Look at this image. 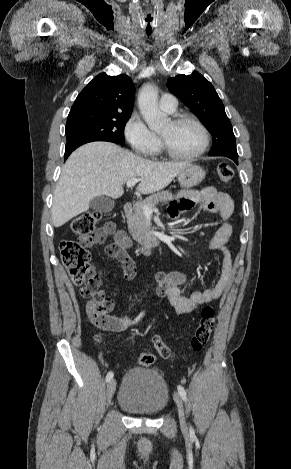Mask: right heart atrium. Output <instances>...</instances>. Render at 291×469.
Masks as SVG:
<instances>
[{
	"mask_svg": "<svg viewBox=\"0 0 291 469\" xmlns=\"http://www.w3.org/2000/svg\"><path fill=\"white\" fill-rule=\"evenodd\" d=\"M124 137L139 155L150 156L159 148V138L138 114H133L124 126Z\"/></svg>",
	"mask_w": 291,
	"mask_h": 469,
	"instance_id": "obj_1",
	"label": "right heart atrium"
}]
</instances>
